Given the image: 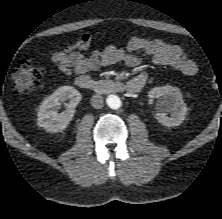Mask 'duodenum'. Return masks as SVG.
<instances>
[{"label":"duodenum","mask_w":222,"mask_h":219,"mask_svg":"<svg viewBox=\"0 0 222 219\" xmlns=\"http://www.w3.org/2000/svg\"><path fill=\"white\" fill-rule=\"evenodd\" d=\"M76 85L81 89L97 93H104L109 91L113 92L127 91L130 93H136L140 91L141 88L143 87L141 83L135 81L122 82L114 79L96 81L85 75H81L76 78Z\"/></svg>","instance_id":"410a0bca"}]
</instances>
